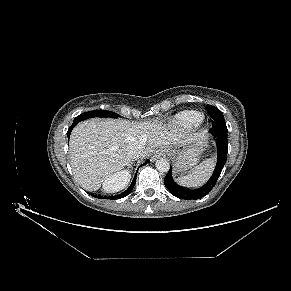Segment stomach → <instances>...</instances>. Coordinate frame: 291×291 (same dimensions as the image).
Returning a JSON list of instances; mask_svg holds the SVG:
<instances>
[{
    "label": "stomach",
    "instance_id": "obj_1",
    "mask_svg": "<svg viewBox=\"0 0 291 291\" xmlns=\"http://www.w3.org/2000/svg\"><path fill=\"white\" fill-rule=\"evenodd\" d=\"M206 142H200L197 145L184 147L182 150L168 149V154L174 161V170L176 173H184L197 164L199 155Z\"/></svg>",
    "mask_w": 291,
    "mask_h": 291
}]
</instances>
